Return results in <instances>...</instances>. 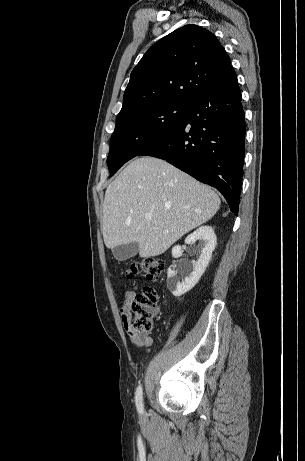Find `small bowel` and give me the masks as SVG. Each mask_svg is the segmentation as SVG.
<instances>
[{
  "label": "small bowel",
  "mask_w": 305,
  "mask_h": 461,
  "mask_svg": "<svg viewBox=\"0 0 305 461\" xmlns=\"http://www.w3.org/2000/svg\"><path fill=\"white\" fill-rule=\"evenodd\" d=\"M135 297L136 287L125 291L123 302L120 307L121 319L132 343L138 347H148L152 344V338L147 335L132 332L129 326V308Z\"/></svg>",
  "instance_id": "obj_1"
}]
</instances>
